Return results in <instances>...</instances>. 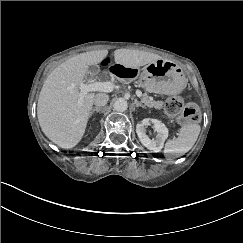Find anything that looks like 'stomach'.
Here are the masks:
<instances>
[{"label":"stomach","mask_w":243,"mask_h":243,"mask_svg":"<svg viewBox=\"0 0 243 243\" xmlns=\"http://www.w3.org/2000/svg\"><path fill=\"white\" fill-rule=\"evenodd\" d=\"M140 84L149 92L172 95L184 89L186 78L182 69L176 64L159 59L142 69Z\"/></svg>","instance_id":"1"}]
</instances>
